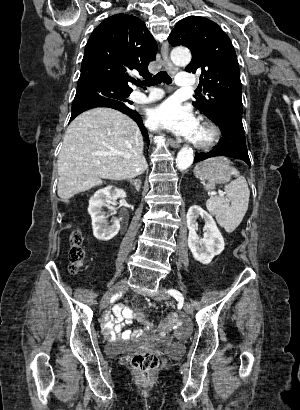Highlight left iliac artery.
Segmentation results:
<instances>
[{"label": "left iliac artery", "instance_id": "44dca946", "mask_svg": "<svg viewBox=\"0 0 300 410\" xmlns=\"http://www.w3.org/2000/svg\"><path fill=\"white\" fill-rule=\"evenodd\" d=\"M168 294H170L171 296H173L176 300H183V295L176 289H169Z\"/></svg>", "mask_w": 300, "mask_h": 410}]
</instances>
